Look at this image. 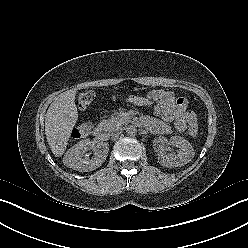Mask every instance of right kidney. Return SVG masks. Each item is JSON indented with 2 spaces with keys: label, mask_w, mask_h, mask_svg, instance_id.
<instances>
[{
  "label": "right kidney",
  "mask_w": 248,
  "mask_h": 248,
  "mask_svg": "<svg viewBox=\"0 0 248 248\" xmlns=\"http://www.w3.org/2000/svg\"><path fill=\"white\" fill-rule=\"evenodd\" d=\"M89 149L94 151L91 159L84 155ZM108 152L109 146L107 143H99L85 139L75 144L65 153L63 163L67 167L79 172L93 171L100 167L106 160Z\"/></svg>",
  "instance_id": "1"
}]
</instances>
